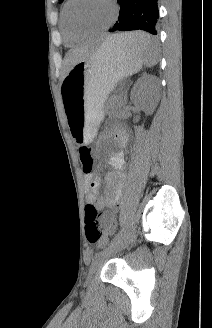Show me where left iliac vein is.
I'll use <instances>...</instances> for the list:
<instances>
[{"instance_id":"1","label":"left iliac vein","mask_w":212,"mask_h":328,"mask_svg":"<svg viewBox=\"0 0 212 328\" xmlns=\"http://www.w3.org/2000/svg\"><path fill=\"white\" fill-rule=\"evenodd\" d=\"M133 236H134V231L128 233L119 241L104 248L102 251L96 254L95 258L93 259L89 267L87 281H90L92 279L98 267H100L111 255L124 249L131 242Z\"/></svg>"}]
</instances>
